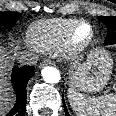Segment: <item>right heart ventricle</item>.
Listing matches in <instances>:
<instances>
[{"label": "right heart ventricle", "instance_id": "right-heart-ventricle-1", "mask_svg": "<svg viewBox=\"0 0 116 116\" xmlns=\"http://www.w3.org/2000/svg\"><path fill=\"white\" fill-rule=\"evenodd\" d=\"M73 18L40 20L28 27L26 42L34 50L48 53L58 46L66 31L75 23Z\"/></svg>", "mask_w": 116, "mask_h": 116}]
</instances>
